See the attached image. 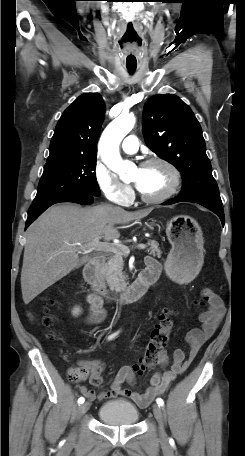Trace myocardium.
Here are the masks:
<instances>
[{"label":"myocardium","mask_w":245,"mask_h":456,"mask_svg":"<svg viewBox=\"0 0 245 456\" xmlns=\"http://www.w3.org/2000/svg\"><path fill=\"white\" fill-rule=\"evenodd\" d=\"M153 164H162L164 165L172 174V184L169 189L158 196H147L143 194L138 188L137 193L139 198L146 203H160L170 199L174 196L181 185V172L179 169L169 160L162 157H151L146 159L140 164V167H146Z\"/></svg>","instance_id":"myocardium-1"}]
</instances>
